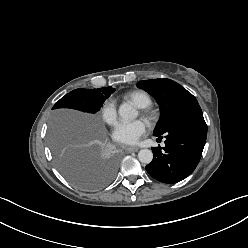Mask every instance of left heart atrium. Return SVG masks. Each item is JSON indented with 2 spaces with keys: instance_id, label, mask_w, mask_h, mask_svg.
<instances>
[{
  "instance_id": "39dd6f15",
  "label": "left heart atrium",
  "mask_w": 248,
  "mask_h": 248,
  "mask_svg": "<svg viewBox=\"0 0 248 248\" xmlns=\"http://www.w3.org/2000/svg\"><path fill=\"white\" fill-rule=\"evenodd\" d=\"M146 130L147 125L142 120L119 122L113 130L112 137L119 143L134 145L146 133Z\"/></svg>"
}]
</instances>
